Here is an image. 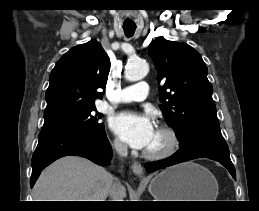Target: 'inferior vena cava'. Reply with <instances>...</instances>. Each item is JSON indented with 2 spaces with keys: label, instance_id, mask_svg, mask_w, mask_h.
<instances>
[{
  "label": "inferior vena cava",
  "instance_id": "602c4592",
  "mask_svg": "<svg viewBox=\"0 0 259 211\" xmlns=\"http://www.w3.org/2000/svg\"><path fill=\"white\" fill-rule=\"evenodd\" d=\"M114 148L116 150V152L121 156V157H126L128 154L127 151V145L121 143V142H116L114 144ZM122 185L120 182H113L111 189L109 191V196L110 198H112L111 201H122V199H120V191L122 189Z\"/></svg>",
  "mask_w": 259,
  "mask_h": 211
}]
</instances>
